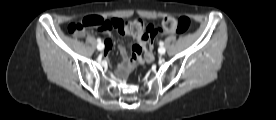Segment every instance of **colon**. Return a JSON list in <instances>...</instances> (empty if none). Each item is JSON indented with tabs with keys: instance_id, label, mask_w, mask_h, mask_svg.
<instances>
[{
	"instance_id": "5ec220e1",
	"label": "colon",
	"mask_w": 276,
	"mask_h": 120,
	"mask_svg": "<svg viewBox=\"0 0 276 120\" xmlns=\"http://www.w3.org/2000/svg\"><path fill=\"white\" fill-rule=\"evenodd\" d=\"M191 24V19L187 16L167 17L163 20L162 28L166 33L183 34L190 29ZM93 28H97L104 33L117 30L124 36L137 38L141 41L151 39L158 33V31L152 30L151 26H146L142 19L122 22L105 20L99 16H88L82 20L72 21L68 25L67 31L70 35L76 37Z\"/></svg>"
}]
</instances>
